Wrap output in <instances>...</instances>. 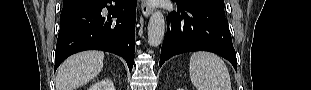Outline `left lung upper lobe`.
<instances>
[{"label": "left lung upper lobe", "mask_w": 311, "mask_h": 90, "mask_svg": "<svg viewBox=\"0 0 311 90\" xmlns=\"http://www.w3.org/2000/svg\"><path fill=\"white\" fill-rule=\"evenodd\" d=\"M180 6L206 9L224 16V0H177Z\"/></svg>", "instance_id": "obj_1"}]
</instances>
